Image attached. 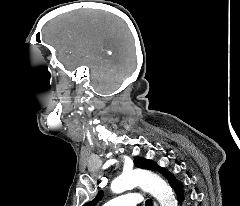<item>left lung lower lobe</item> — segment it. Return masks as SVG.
<instances>
[{
	"label": "left lung lower lobe",
	"mask_w": 240,
	"mask_h": 206,
	"mask_svg": "<svg viewBox=\"0 0 240 206\" xmlns=\"http://www.w3.org/2000/svg\"><path fill=\"white\" fill-rule=\"evenodd\" d=\"M164 176L168 179L171 187L176 191L177 196H178V200H179V202H181L182 199H183V195H182L183 191H182L181 183H179L175 179V177L171 173H168L167 171H165Z\"/></svg>",
	"instance_id": "0a47b994"
}]
</instances>
